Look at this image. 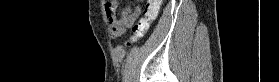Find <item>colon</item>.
<instances>
[{"instance_id": "1", "label": "colon", "mask_w": 279, "mask_h": 82, "mask_svg": "<svg viewBox=\"0 0 279 82\" xmlns=\"http://www.w3.org/2000/svg\"><path fill=\"white\" fill-rule=\"evenodd\" d=\"M162 3V0H147L145 16L141 18L136 24L132 27V35L125 42L127 46L132 45L139 39H141L146 31L148 30L150 22H152L158 13V9Z\"/></svg>"}]
</instances>
